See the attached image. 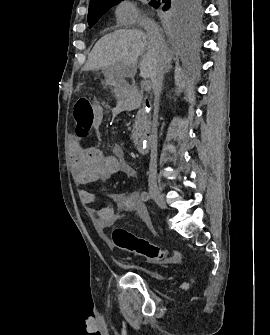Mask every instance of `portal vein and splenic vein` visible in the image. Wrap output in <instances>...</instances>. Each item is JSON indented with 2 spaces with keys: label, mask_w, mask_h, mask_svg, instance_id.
Instances as JSON below:
<instances>
[{
  "label": "portal vein and splenic vein",
  "mask_w": 270,
  "mask_h": 335,
  "mask_svg": "<svg viewBox=\"0 0 270 335\" xmlns=\"http://www.w3.org/2000/svg\"><path fill=\"white\" fill-rule=\"evenodd\" d=\"M150 86H151V83H148V85H146V86H144V87L142 88V91H143L144 93H147V92L149 91V89H150Z\"/></svg>",
  "instance_id": "18ae733b"
}]
</instances>
